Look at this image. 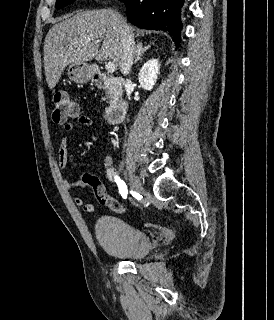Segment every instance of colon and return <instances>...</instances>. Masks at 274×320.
I'll use <instances>...</instances> for the list:
<instances>
[{"label": "colon", "instance_id": "5ec220e1", "mask_svg": "<svg viewBox=\"0 0 274 320\" xmlns=\"http://www.w3.org/2000/svg\"><path fill=\"white\" fill-rule=\"evenodd\" d=\"M52 119L58 124H64L71 127V122L77 119L78 106L77 103L71 99L65 90L56 91L52 96ZM81 181L84 186H89L94 193L99 194V201L102 205L109 208L111 211L121 214L126 212V207L117 200L105 194L106 187L103 182H97V175H90L89 169L81 170Z\"/></svg>", "mask_w": 274, "mask_h": 320}]
</instances>
